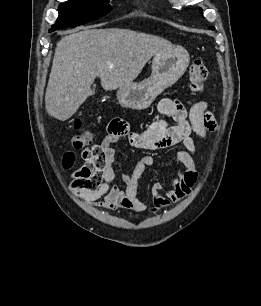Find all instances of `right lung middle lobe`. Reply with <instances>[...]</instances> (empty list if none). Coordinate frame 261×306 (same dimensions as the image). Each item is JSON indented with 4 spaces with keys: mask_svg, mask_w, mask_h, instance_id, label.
Listing matches in <instances>:
<instances>
[{
    "mask_svg": "<svg viewBox=\"0 0 261 306\" xmlns=\"http://www.w3.org/2000/svg\"><path fill=\"white\" fill-rule=\"evenodd\" d=\"M110 0H68L59 5L56 23L52 26L59 29L78 26L108 14L112 7Z\"/></svg>",
    "mask_w": 261,
    "mask_h": 306,
    "instance_id": "1",
    "label": "right lung middle lobe"
}]
</instances>
